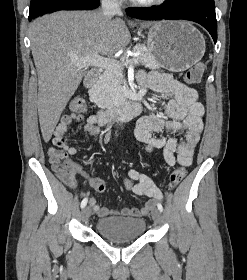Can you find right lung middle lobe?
<instances>
[{"instance_id": "right-lung-middle-lobe-1", "label": "right lung middle lobe", "mask_w": 247, "mask_h": 280, "mask_svg": "<svg viewBox=\"0 0 247 280\" xmlns=\"http://www.w3.org/2000/svg\"><path fill=\"white\" fill-rule=\"evenodd\" d=\"M49 0H31L30 4V12L35 11L38 9L44 2H47Z\"/></svg>"}]
</instances>
